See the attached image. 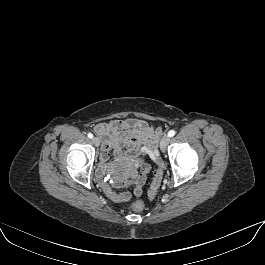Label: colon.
Returning a JSON list of instances; mask_svg holds the SVG:
<instances>
[{"label": "colon", "mask_w": 265, "mask_h": 265, "mask_svg": "<svg viewBox=\"0 0 265 265\" xmlns=\"http://www.w3.org/2000/svg\"><path fill=\"white\" fill-rule=\"evenodd\" d=\"M162 175L163 174H162L161 168L157 167V169L154 172L152 183H151L150 188L148 190V198L149 199H154L156 197L158 190L160 188V185H161ZM131 208L137 212L142 211L144 208V202L141 200L133 201L131 203Z\"/></svg>", "instance_id": "colon-1"}]
</instances>
